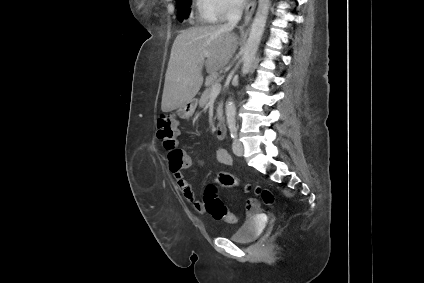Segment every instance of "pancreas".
<instances>
[{
    "instance_id": "1",
    "label": "pancreas",
    "mask_w": 424,
    "mask_h": 283,
    "mask_svg": "<svg viewBox=\"0 0 424 283\" xmlns=\"http://www.w3.org/2000/svg\"><path fill=\"white\" fill-rule=\"evenodd\" d=\"M218 81H220V79L218 78V75L217 74L216 75H210L207 78V81H206L207 88L204 91V93L202 94L201 99H200V104L201 105H204V104H206L208 102V100L211 97V88H212V85L214 83L218 82ZM222 106H223V104L222 103H219L218 109H217L218 113L221 112Z\"/></svg>"
}]
</instances>
